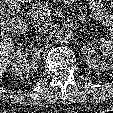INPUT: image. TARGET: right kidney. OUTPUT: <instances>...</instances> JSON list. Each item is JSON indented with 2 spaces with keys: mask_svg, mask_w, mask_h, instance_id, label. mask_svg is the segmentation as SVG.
Instances as JSON below:
<instances>
[{
  "mask_svg": "<svg viewBox=\"0 0 113 113\" xmlns=\"http://www.w3.org/2000/svg\"><path fill=\"white\" fill-rule=\"evenodd\" d=\"M16 51L11 62L12 73L16 76L29 75L35 71L39 64L40 50L36 47L27 49L26 52L22 50L21 44L16 46ZM26 57H30L31 60L28 63Z\"/></svg>",
  "mask_w": 113,
  "mask_h": 113,
  "instance_id": "right-kidney-1",
  "label": "right kidney"
}]
</instances>
